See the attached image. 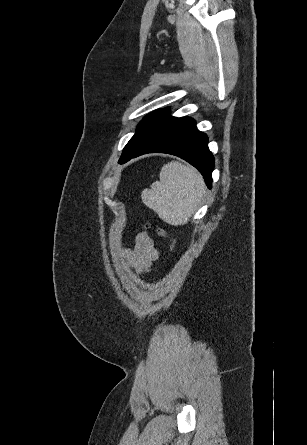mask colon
<instances>
[{"instance_id":"obj_1","label":"colon","mask_w":307,"mask_h":445,"mask_svg":"<svg viewBox=\"0 0 307 445\" xmlns=\"http://www.w3.org/2000/svg\"><path fill=\"white\" fill-rule=\"evenodd\" d=\"M147 227H150V224H146ZM156 232L159 236L167 239L170 242V251L173 252L176 248V240L170 236L167 230L163 227H156Z\"/></svg>"}]
</instances>
